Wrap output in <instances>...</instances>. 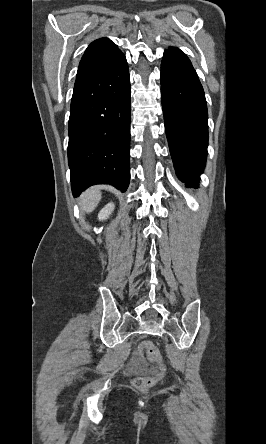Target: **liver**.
Returning a JSON list of instances; mask_svg holds the SVG:
<instances>
[{
  "mask_svg": "<svg viewBox=\"0 0 266 444\" xmlns=\"http://www.w3.org/2000/svg\"><path fill=\"white\" fill-rule=\"evenodd\" d=\"M101 200V193L98 187H92L81 196L80 205L86 213H91Z\"/></svg>",
  "mask_w": 266,
  "mask_h": 444,
  "instance_id": "obj_1",
  "label": "liver"
}]
</instances>
